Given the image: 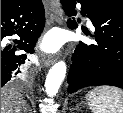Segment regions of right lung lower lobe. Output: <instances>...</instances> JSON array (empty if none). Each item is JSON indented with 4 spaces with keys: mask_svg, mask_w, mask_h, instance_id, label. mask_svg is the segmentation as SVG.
<instances>
[{
    "mask_svg": "<svg viewBox=\"0 0 123 113\" xmlns=\"http://www.w3.org/2000/svg\"><path fill=\"white\" fill-rule=\"evenodd\" d=\"M45 23L41 0H22L17 5L1 11V41L5 36L17 34L20 40L11 48L1 46V87L20 72L26 55H16L17 48L32 52Z\"/></svg>",
    "mask_w": 123,
    "mask_h": 113,
    "instance_id": "1",
    "label": "right lung lower lobe"
}]
</instances>
